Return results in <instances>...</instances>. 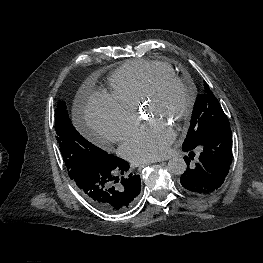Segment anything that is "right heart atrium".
I'll return each mask as SVG.
<instances>
[{"mask_svg": "<svg viewBox=\"0 0 263 263\" xmlns=\"http://www.w3.org/2000/svg\"><path fill=\"white\" fill-rule=\"evenodd\" d=\"M84 121L98 144L106 146L125 139L137 122L134 109L120 103L111 94H93L84 109Z\"/></svg>", "mask_w": 263, "mask_h": 263, "instance_id": "1", "label": "right heart atrium"}]
</instances>
